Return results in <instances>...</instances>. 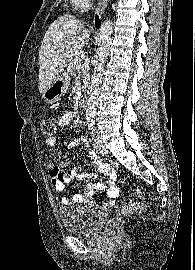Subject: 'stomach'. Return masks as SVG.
Masks as SVG:
<instances>
[{
	"label": "stomach",
	"instance_id": "0dacf381",
	"mask_svg": "<svg viewBox=\"0 0 195 270\" xmlns=\"http://www.w3.org/2000/svg\"><path fill=\"white\" fill-rule=\"evenodd\" d=\"M70 84L69 77L63 73L42 94L46 103H55L61 99Z\"/></svg>",
	"mask_w": 195,
	"mask_h": 270
}]
</instances>
